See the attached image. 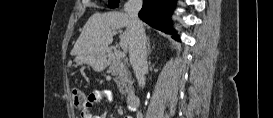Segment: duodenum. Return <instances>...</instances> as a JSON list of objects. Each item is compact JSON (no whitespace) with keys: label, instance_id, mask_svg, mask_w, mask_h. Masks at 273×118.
<instances>
[{"label":"duodenum","instance_id":"obj_1","mask_svg":"<svg viewBox=\"0 0 273 118\" xmlns=\"http://www.w3.org/2000/svg\"><path fill=\"white\" fill-rule=\"evenodd\" d=\"M125 100L128 106L135 108L139 105L140 97L135 91H129L125 95Z\"/></svg>","mask_w":273,"mask_h":118}]
</instances>
